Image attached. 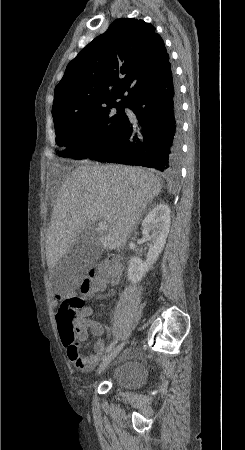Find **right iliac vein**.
Wrapping results in <instances>:
<instances>
[{
	"label": "right iliac vein",
	"mask_w": 245,
	"mask_h": 450,
	"mask_svg": "<svg viewBox=\"0 0 245 450\" xmlns=\"http://www.w3.org/2000/svg\"><path fill=\"white\" fill-rule=\"evenodd\" d=\"M126 342H122L118 346H116L101 362L97 374H101L107 366L111 363V361L119 354V352L123 349Z\"/></svg>",
	"instance_id": "63e3f726"
}]
</instances>
